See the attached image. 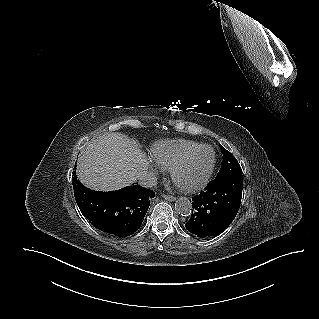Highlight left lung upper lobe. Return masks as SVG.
<instances>
[{
    "instance_id": "left-lung-upper-lobe-1",
    "label": "left lung upper lobe",
    "mask_w": 319,
    "mask_h": 319,
    "mask_svg": "<svg viewBox=\"0 0 319 319\" xmlns=\"http://www.w3.org/2000/svg\"><path fill=\"white\" fill-rule=\"evenodd\" d=\"M220 149L221 153L223 154V161L221 168L213 181L222 179L230 174L242 175V169L237 159L221 145Z\"/></svg>"
}]
</instances>
